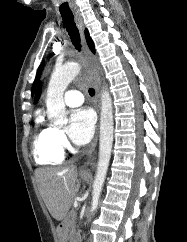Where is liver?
I'll list each match as a JSON object with an SVG mask.
<instances>
[{
	"mask_svg": "<svg viewBox=\"0 0 187 242\" xmlns=\"http://www.w3.org/2000/svg\"><path fill=\"white\" fill-rule=\"evenodd\" d=\"M75 166L67 168H38L35 177L39 192L51 216L63 220L76 197L80 183Z\"/></svg>",
	"mask_w": 187,
	"mask_h": 242,
	"instance_id": "liver-1",
	"label": "liver"
}]
</instances>
